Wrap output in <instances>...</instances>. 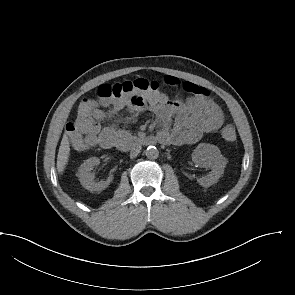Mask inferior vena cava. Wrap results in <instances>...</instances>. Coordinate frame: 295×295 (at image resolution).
Here are the masks:
<instances>
[{"instance_id": "602c4592", "label": "inferior vena cava", "mask_w": 295, "mask_h": 295, "mask_svg": "<svg viewBox=\"0 0 295 295\" xmlns=\"http://www.w3.org/2000/svg\"><path fill=\"white\" fill-rule=\"evenodd\" d=\"M140 150H141L140 145L134 146L130 151V158H135L140 153Z\"/></svg>"}]
</instances>
